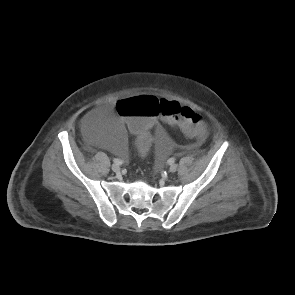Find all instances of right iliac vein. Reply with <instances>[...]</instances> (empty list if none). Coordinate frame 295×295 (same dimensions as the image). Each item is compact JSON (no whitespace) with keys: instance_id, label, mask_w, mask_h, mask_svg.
<instances>
[{"instance_id":"obj_1","label":"right iliac vein","mask_w":295,"mask_h":295,"mask_svg":"<svg viewBox=\"0 0 295 295\" xmlns=\"http://www.w3.org/2000/svg\"><path fill=\"white\" fill-rule=\"evenodd\" d=\"M112 170L115 172V173H119L120 172V166L116 163H114L112 165Z\"/></svg>"}]
</instances>
